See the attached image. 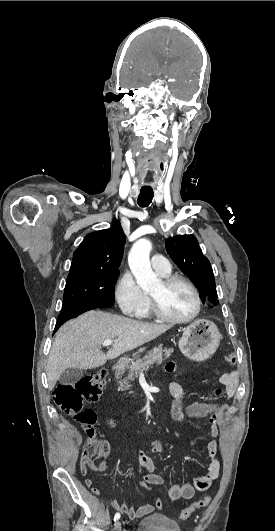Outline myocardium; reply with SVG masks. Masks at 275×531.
<instances>
[{
  "label": "myocardium",
  "instance_id": "f54148a6",
  "mask_svg": "<svg viewBox=\"0 0 275 531\" xmlns=\"http://www.w3.org/2000/svg\"><path fill=\"white\" fill-rule=\"evenodd\" d=\"M161 281H162V283L164 285H171V284H174V283H182L185 286H187L189 288V290L191 291L193 297H194L195 308H194L193 312L191 314H189L188 316H186V317L173 318V317L168 316L167 314H165L161 310L157 299L153 295H150L151 296V301H152L153 312L156 315V317L159 318L160 320H162L164 322H167V323H170V324H186V323L192 321L193 319H195L199 315V313L201 311V304H202L201 303L200 294H199L197 288L195 287V285L189 279H187L186 277L179 276V275H165V276L162 277Z\"/></svg>",
  "mask_w": 275,
  "mask_h": 531
}]
</instances>
